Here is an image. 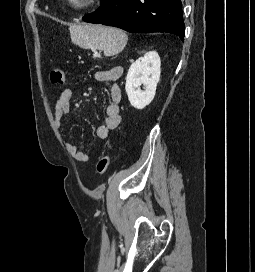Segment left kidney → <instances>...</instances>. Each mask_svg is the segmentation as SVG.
<instances>
[{
	"instance_id": "5707ae66",
	"label": "left kidney",
	"mask_w": 255,
	"mask_h": 272,
	"mask_svg": "<svg viewBox=\"0 0 255 272\" xmlns=\"http://www.w3.org/2000/svg\"><path fill=\"white\" fill-rule=\"evenodd\" d=\"M160 66V57L156 51L147 52L130 66L125 90L134 108L143 109L153 100L160 80ZM141 85L144 90L140 89Z\"/></svg>"
}]
</instances>
